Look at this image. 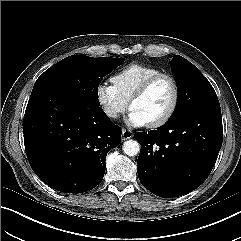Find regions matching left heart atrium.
Segmentation results:
<instances>
[{
	"label": "left heart atrium",
	"mask_w": 241,
	"mask_h": 241,
	"mask_svg": "<svg viewBox=\"0 0 241 241\" xmlns=\"http://www.w3.org/2000/svg\"><path fill=\"white\" fill-rule=\"evenodd\" d=\"M127 122L131 126L134 127H142L146 125V121L135 111L131 110L128 117H127Z\"/></svg>",
	"instance_id": "obj_1"
}]
</instances>
